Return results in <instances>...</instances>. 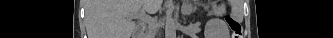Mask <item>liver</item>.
<instances>
[{
    "mask_svg": "<svg viewBox=\"0 0 333 38\" xmlns=\"http://www.w3.org/2000/svg\"><path fill=\"white\" fill-rule=\"evenodd\" d=\"M162 0H87L88 38H131L136 24L130 16L141 9L155 13Z\"/></svg>",
    "mask_w": 333,
    "mask_h": 38,
    "instance_id": "liver-1",
    "label": "liver"
}]
</instances>
